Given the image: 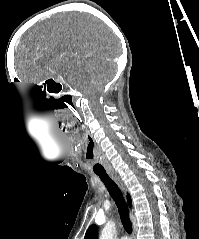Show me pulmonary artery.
<instances>
[{
    "label": "pulmonary artery",
    "mask_w": 199,
    "mask_h": 239,
    "mask_svg": "<svg viewBox=\"0 0 199 239\" xmlns=\"http://www.w3.org/2000/svg\"><path fill=\"white\" fill-rule=\"evenodd\" d=\"M121 239H129L127 236H123L121 237Z\"/></svg>",
    "instance_id": "obj_1"
}]
</instances>
